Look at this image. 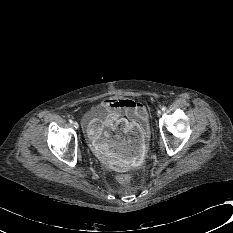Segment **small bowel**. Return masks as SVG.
<instances>
[{
	"mask_svg": "<svg viewBox=\"0 0 233 233\" xmlns=\"http://www.w3.org/2000/svg\"><path fill=\"white\" fill-rule=\"evenodd\" d=\"M103 106L109 111L106 121L94 119L88 124V135L93 146L123 163H136L142 157L145 142L144 132L137 125H144L147 120L146 106L128 98H109L103 102ZM116 122L122 124L121 130H103L104 125L113 127Z\"/></svg>",
	"mask_w": 233,
	"mask_h": 233,
	"instance_id": "1",
	"label": "small bowel"
}]
</instances>
